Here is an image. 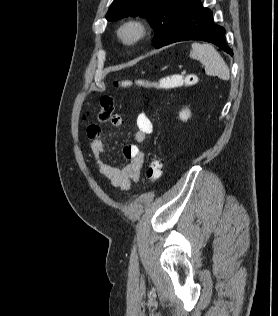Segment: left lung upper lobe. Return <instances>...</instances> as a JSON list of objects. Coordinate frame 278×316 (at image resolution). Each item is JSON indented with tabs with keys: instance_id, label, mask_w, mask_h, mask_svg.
Segmentation results:
<instances>
[{
	"instance_id": "1",
	"label": "left lung upper lobe",
	"mask_w": 278,
	"mask_h": 316,
	"mask_svg": "<svg viewBox=\"0 0 278 316\" xmlns=\"http://www.w3.org/2000/svg\"><path fill=\"white\" fill-rule=\"evenodd\" d=\"M190 0H114L106 18L114 21L127 16L147 18L155 30L153 46L160 48L173 34Z\"/></svg>"
}]
</instances>
